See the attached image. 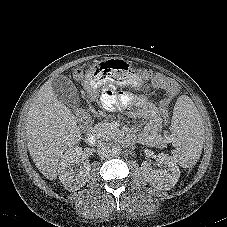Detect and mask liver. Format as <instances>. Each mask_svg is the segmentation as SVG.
I'll use <instances>...</instances> for the list:
<instances>
[{
    "label": "liver",
    "mask_w": 227,
    "mask_h": 227,
    "mask_svg": "<svg viewBox=\"0 0 227 227\" xmlns=\"http://www.w3.org/2000/svg\"><path fill=\"white\" fill-rule=\"evenodd\" d=\"M52 81L53 78L46 81L34 97L25 126L30 156L50 181L57 178L63 153L81 140L77 119L53 93Z\"/></svg>",
    "instance_id": "1"
}]
</instances>
